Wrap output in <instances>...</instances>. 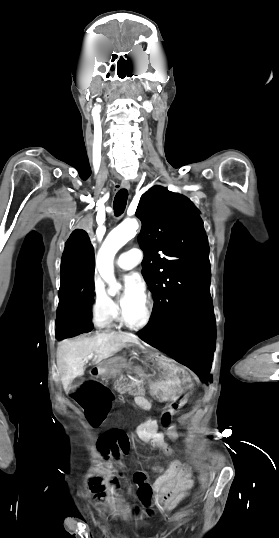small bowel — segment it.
<instances>
[{"label":"small bowel","mask_w":279,"mask_h":538,"mask_svg":"<svg viewBox=\"0 0 279 538\" xmlns=\"http://www.w3.org/2000/svg\"><path fill=\"white\" fill-rule=\"evenodd\" d=\"M185 396L181 395L173 399L166 409L163 411L161 416V424L165 429V433L158 430L159 423L156 420L146 422L139 429V436L145 442L151 444L154 448L165 451L166 453H172V449L165 443V435L170 439H176L177 433L175 425L173 422L174 416L177 414L179 409L185 403ZM178 462L175 461L173 468L170 470H164L163 467L159 465L151 466V468L158 473H161L160 477L154 484V491L157 493V501L161 505H168L171 501L173 493L179 490H184L191 486V481H180L179 486H176L174 483L176 468Z\"/></svg>","instance_id":"1"}]
</instances>
